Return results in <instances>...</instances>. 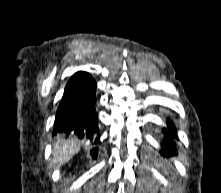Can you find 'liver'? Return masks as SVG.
Wrapping results in <instances>:
<instances>
[{
  "mask_svg": "<svg viewBox=\"0 0 221 193\" xmlns=\"http://www.w3.org/2000/svg\"><path fill=\"white\" fill-rule=\"evenodd\" d=\"M80 150V145L76 142L63 140L54 144L53 164L61 166L68 162Z\"/></svg>",
  "mask_w": 221,
  "mask_h": 193,
  "instance_id": "6515ba94",
  "label": "liver"
}]
</instances>
